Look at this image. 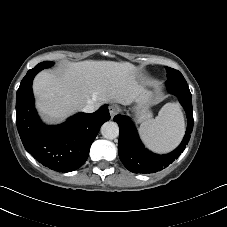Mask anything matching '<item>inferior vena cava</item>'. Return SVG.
Masks as SVG:
<instances>
[{
	"mask_svg": "<svg viewBox=\"0 0 227 227\" xmlns=\"http://www.w3.org/2000/svg\"><path fill=\"white\" fill-rule=\"evenodd\" d=\"M96 109H97V105H95L94 103H89L83 107L82 111L85 113H92Z\"/></svg>",
	"mask_w": 227,
	"mask_h": 227,
	"instance_id": "602c4592",
	"label": "inferior vena cava"
}]
</instances>
